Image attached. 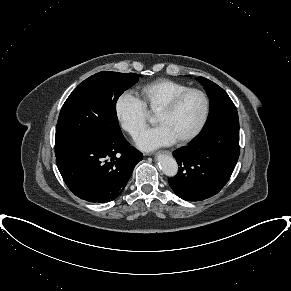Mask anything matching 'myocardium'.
<instances>
[{
	"label": "myocardium",
	"mask_w": 291,
	"mask_h": 291,
	"mask_svg": "<svg viewBox=\"0 0 291 291\" xmlns=\"http://www.w3.org/2000/svg\"><path fill=\"white\" fill-rule=\"evenodd\" d=\"M196 93L199 94L204 102V108H203V113L201 116V119L197 125V127L187 136L175 141L176 144L178 145H184L192 140H194L204 129L208 118H209V113H210V99L208 94L199 89V88H187L176 95H174L169 101H167L158 111L157 113H164L168 114L171 113L177 106L178 104L182 101L183 98H185L187 95Z\"/></svg>",
	"instance_id": "1"
}]
</instances>
